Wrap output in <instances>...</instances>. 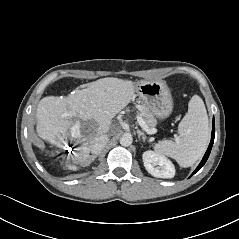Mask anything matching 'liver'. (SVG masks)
Wrapping results in <instances>:
<instances>
[{
  "label": "liver",
  "mask_w": 239,
  "mask_h": 239,
  "mask_svg": "<svg viewBox=\"0 0 239 239\" xmlns=\"http://www.w3.org/2000/svg\"><path fill=\"white\" fill-rule=\"evenodd\" d=\"M135 97V83L118 78H103L76 88L67 97L46 96L36 109V132L51 144L60 146L65 142L68 131L80 134L81 121L96 123L94 134L82 138L83 146L76 162L88 164L89 153L98 155L94 148L96 138L106 135L112 119ZM68 113V116H64ZM39 147H43L40 142Z\"/></svg>",
  "instance_id": "obj_1"
}]
</instances>
